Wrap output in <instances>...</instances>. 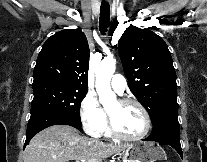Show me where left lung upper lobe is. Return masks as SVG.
<instances>
[{
    "mask_svg": "<svg viewBox=\"0 0 207 162\" xmlns=\"http://www.w3.org/2000/svg\"><path fill=\"white\" fill-rule=\"evenodd\" d=\"M129 87L153 125L178 115L176 73L166 43L154 32L130 26L118 42Z\"/></svg>",
    "mask_w": 207,
    "mask_h": 162,
    "instance_id": "5c2ea615",
    "label": "left lung upper lobe"
}]
</instances>
